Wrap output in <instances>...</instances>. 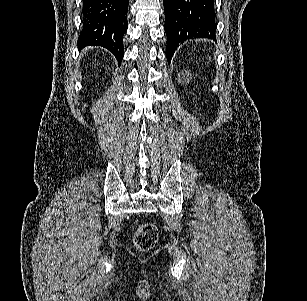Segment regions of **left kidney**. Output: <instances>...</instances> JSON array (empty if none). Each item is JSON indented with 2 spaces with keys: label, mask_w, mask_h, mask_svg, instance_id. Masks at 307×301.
Returning a JSON list of instances; mask_svg holds the SVG:
<instances>
[{
  "label": "left kidney",
  "mask_w": 307,
  "mask_h": 301,
  "mask_svg": "<svg viewBox=\"0 0 307 301\" xmlns=\"http://www.w3.org/2000/svg\"><path fill=\"white\" fill-rule=\"evenodd\" d=\"M187 74H189V72H187V70H185L183 76H187Z\"/></svg>",
  "instance_id": "left-kidney-1"
}]
</instances>
